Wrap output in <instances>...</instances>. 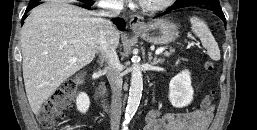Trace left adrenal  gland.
I'll return each instance as SVG.
<instances>
[{"mask_svg":"<svg viewBox=\"0 0 257 130\" xmlns=\"http://www.w3.org/2000/svg\"><path fill=\"white\" fill-rule=\"evenodd\" d=\"M148 55H149V62H151L152 64L156 65V64H162L164 62V59L162 58H156V57L153 58L151 52H149Z\"/></svg>","mask_w":257,"mask_h":130,"instance_id":"obj_1","label":"left adrenal gland"}]
</instances>
